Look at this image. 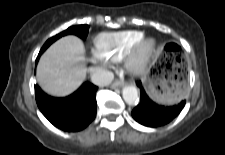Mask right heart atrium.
<instances>
[{"label":"right heart atrium","instance_id":"right-heart-atrium-1","mask_svg":"<svg viewBox=\"0 0 225 155\" xmlns=\"http://www.w3.org/2000/svg\"><path fill=\"white\" fill-rule=\"evenodd\" d=\"M90 62L95 69L102 70L106 68L109 64V61L101 57L97 52H93L90 57Z\"/></svg>","mask_w":225,"mask_h":155}]
</instances>
